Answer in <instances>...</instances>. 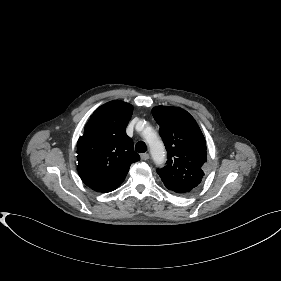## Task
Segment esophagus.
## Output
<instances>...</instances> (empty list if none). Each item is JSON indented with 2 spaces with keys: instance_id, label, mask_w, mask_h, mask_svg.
<instances>
[{
  "instance_id": "1",
  "label": "esophagus",
  "mask_w": 281,
  "mask_h": 281,
  "mask_svg": "<svg viewBox=\"0 0 281 281\" xmlns=\"http://www.w3.org/2000/svg\"><path fill=\"white\" fill-rule=\"evenodd\" d=\"M140 157H141L142 160L146 161V160L149 159V154L148 153H143V154L140 155Z\"/></svg>"
}]
</instances>
